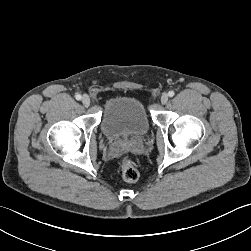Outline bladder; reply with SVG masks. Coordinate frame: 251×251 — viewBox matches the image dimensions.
<instances>
[{"label":"bladder","instance_id":"bladder-1","mask_svg":"<svg viewBox=\"0 0 251 251\" xmlns=\"http://www.w3.org/2000/svg\"><path fill=\"white\" fill-rule=\"evenodd\" d=\"M149 118L143 103L132 96H114L104 105L101 130L111 141L139 138L149 131Z\"/></svg>","mask_w":251,"mask_h":251}]
</instances>
